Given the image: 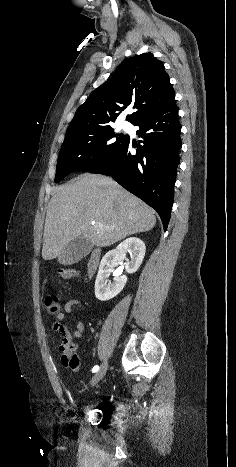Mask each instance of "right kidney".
<instances>
[{
    "mask_svg": "<svg viewBox=\"0 0 236 467\" xmlns=\"http://www.w3.org/2000/svg\"><path fill=\"white\" fill-rule=\"evenodd\" d=\"M146 247L142 240L130 237L121 242L116 249L107 252L101 260L95 281V296L98 300L107 301L117 296L124 288L127 277L121 275L120 269L113 272V268L124 260L125 271L132 274L138 270L145 256ZM130 259L126 258V254ZM113 272V282L108 278Z\"/></svg>",
    "mask_w": 236,
    "mask_h": 467,
    "instance_id": "obj_1",
    "label": "right kidney"
}]
</instances>
